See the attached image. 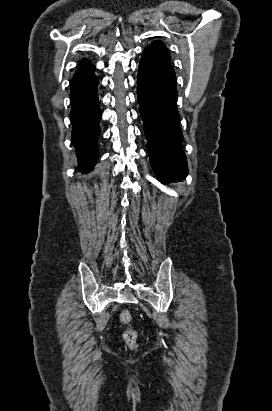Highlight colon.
Here are the masks:
<instances>
[{
	"instance_id": "obj_1",
	"label": "colon",
	"mask_w": 272,
	"mask_h": 411,
	"mask_svg": "<svg viewBox=\"0 0 272 411\" xmlns=\"http://www.w3.org/2000/svg\"><path fill=\"white\" fill-rule=\"evenodd\" d=\"M132 316L128 311H123L120 314V322L128 328L123 333V340L130 349H136L138 346L137 332L130 327Z\"/></svg>"
}]
</instances>
